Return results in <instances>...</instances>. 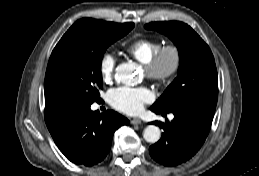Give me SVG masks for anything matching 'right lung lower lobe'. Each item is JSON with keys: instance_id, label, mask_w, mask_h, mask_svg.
I'll return each instance as SVG.
<instances>
[{"instance_id": "1", "label": "right lung lower lobe", "mask_w": 259, "mask_h": 176, "mask_svg": "<svg viewBox=\"0 0 259 176\" xmlns=\"http://www.w3.org/2000/svg\"><path fill=\"white\" fill-rule=\"evenodd\" d=\"M91 105L62 102L45 110V121L64 156L77 165L92 166L108 154L114 132L129 121L112 110L102 115Z\"/></svg>"}]
</instances>
